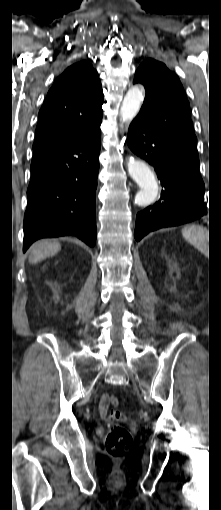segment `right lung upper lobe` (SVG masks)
<instances>
[{
  "label": "right lung upper lobe",
  "mask_w": 221,
  "mask_h": 510,
  "mask_svg": "<svg viewBox=\"0 0 221 510\" xmlns=\"http://www.w3.org/2000/svg\"><path fill=\"white\" fill-rule=\"evenodd\" d=\"M103 92L97 71L81 61L68 67L54 82L39 111L33 150L76 135L101 122Z\"/></svg>",
  "instance_id": "1"
}]
</instances>
